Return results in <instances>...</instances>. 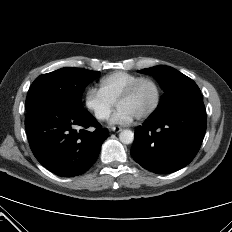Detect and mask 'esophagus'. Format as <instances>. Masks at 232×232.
I'll return each instance as SVG.
<instances>
[{"label":"esophagus","mask_w":232,"mask_h":232,"mask_svg":"<svg viewBox=\"0 0 232 232\" xmlns=\"http://www.w3.org/2000/svg\"><path fill=\"white\" fill-rule=\"evenodd\" d=\"M121 130L122 128L120 126L111 127V131L116 132V133L120 132Z\"/></svg>","instance_id":"34e87169"}]
</instances>
